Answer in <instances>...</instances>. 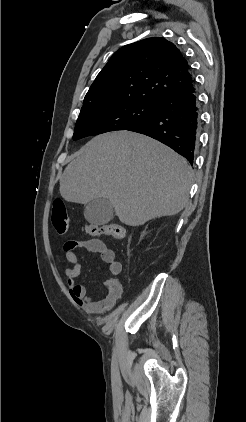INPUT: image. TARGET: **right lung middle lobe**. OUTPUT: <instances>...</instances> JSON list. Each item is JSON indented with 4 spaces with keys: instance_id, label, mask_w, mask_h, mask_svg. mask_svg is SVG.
I'll return each mask as SVG.
<instances>
[{
    "instance_id": "1",
    "label": "right lung middle lobe",
    "mask_w": 246,
    "mask_h": 422,
    "mask_svg": "<svg viewBox=\"0 0 246 422\" xmlns=\"http://www.w3.org/2000/svg\"><path fill=\"white\" fill-rule=\"evenodd\" d=\"M156 113V103L136 99H118L82 107L73 139L128 128Z\"/></svg>"
}]
</instances>
